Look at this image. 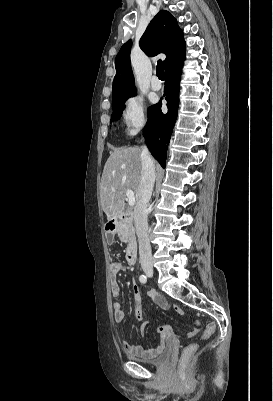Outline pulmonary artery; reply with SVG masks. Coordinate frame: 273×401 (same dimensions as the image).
Returning <instances> with one entry per match:
<instances>
[{
	"label": "pulmonary artery",
	"mask_w": 273,
	"mask_h": 401,
	"mask_svg": "<svg viewBox=\"0 0 273 401\" xmlns=\"http://www.w3.org/2000/svg\"><path fill=\"white\" fill-rule=\"evenodd\" d=\"M151 87H152V89L153 90H155V91H157V90H159L160 88V82L158 81V80H153L152 82H151Z\"/></svg>",
	"instance_id": "obj_1"
}]
</instances>
